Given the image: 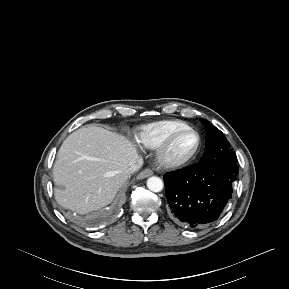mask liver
<instances>
[{"instance_id":"6515ba94","label":"liver","mask_w":289,"mask_h":289,"mask_svg":"<svg viewBox=\"0 0 289 289\" xmlns=\"http://www.w3.org/2000/svg\"><path fill=\"white\" fill-rule=\"evenodd\" d=\"M128 138L101 127L88 126L62 143L53 167L55 199L80 214L109 204L128 180L124 170L139 160Z\"/></svg>"}]
</instances>
